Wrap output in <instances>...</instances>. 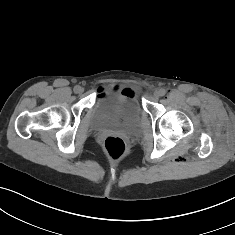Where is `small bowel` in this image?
Segmentation results:
<instances>
[{"label": "small bowel", "mask_w": 235, "mask_h": 235, "mask_svg": "<svg viewBox=\"0 0 235 235\" xmlns=\"http://www.w3.org/2000/svg\"><path fill=\"white\" fill-rule=\"evenodd\" d=\"M124 90L133 92V91H132L131 89H129V88H125ZM104 91H105V89L99 88L98 93H99V94H102V93H104Z\"/></svg>", "instance_id": "c3829d8e"}]
</instances>
